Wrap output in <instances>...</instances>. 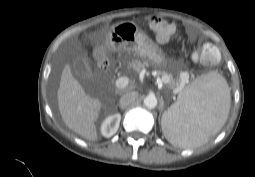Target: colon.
Masks as SVG:
<instances>
[{"label":"colon","instance_id":"obj_1","mask_svg":"<svg viewBox=\"0 0 255 177\" xmlns=\"http://www.w3.org/2000/svg\"><path fill=\"white\" fill-rule=\"evenodd\" d=\"M149 25L154 31L157 39L161 42L167 41L174 31V25L170 20L161 16L153 15L149 19ZM219 59V50L210 43H205L194 51L193 60L206 64H214Z\"/></svg>","mask_w":255,"mask_h":177}]
</instances>
